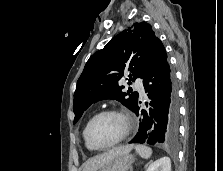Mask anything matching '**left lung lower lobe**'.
Listing matches in <instances>:
<instances>
[{
	"instance_id": "obj_1",
	"label": "left lung lower lobe",
	"mask_w": 223,
	"mask_h": 171,
	"mask_svg": "<svg viewBox=\"0 0 223 171\" xmlns=\"http://www.w3.org/2000/svg\"><path fill=\"white\" fill-rule=\"evenodd\" d=\"M150 108L143 110L138 102L134 112L140 115L139 131L130 143L174 144L178 137L179 103L176 79L165 48L158 41L142 77Z\"/></svg>"
}]
</instances>
